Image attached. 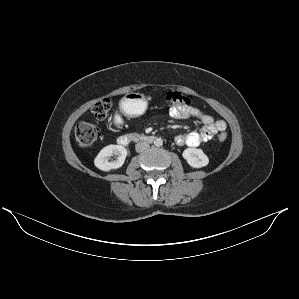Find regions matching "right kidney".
Listing matches in <instances>:
<instances>
[{"mask_svg": "<svg viewBox=\"0 0 299 299\" xmlns=\"http://www.w3.org/2000/svg\"><path fill=\"white\" fill-rule=\"evenodd\" d=\"M118 156L115 161H108V157ZM127 156V149L121 145H108L104 147L94 159L95 166L102 171L117 169L124 164Z\"/></svg>", "mask_w": 299, "mask_h": 299, "instance_id": "1", "label": "right kidney"}]
</instances>
